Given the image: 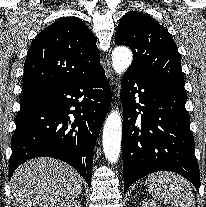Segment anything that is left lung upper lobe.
Instances as JSON below:
<instances>
[{
  "instance_id": "5c2ea615",
  "label": "left lung upper lobe",
  "mask_w": 206,
  "mask_h": 207,
  "mask_svg": "<svg viewBox=\"0 0 206 207\" xmlns=\"http://www.w3.org/2000/svg\"><path fill=\"white\" fill-rule=\"evenodd\" d=\"M115 41L133 51V62L126 73L184 89L177 46L156 20L137 11L126 13L116 30Z\"/></svg>"
}]
</instances>
